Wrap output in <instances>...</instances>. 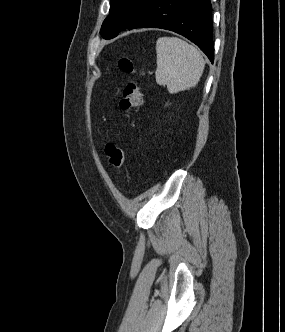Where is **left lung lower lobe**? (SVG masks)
Instances as JSON below:
<instances>
[{"label":"left lung lower lobe","mask_w":285,"mask_h":332,"mask_svg":"<svg viewBox=\"0 0 285 332\" xmlns=\"http://www.w3.org/2000/svg\"><path fill=\"white\" fill-rule=\"evenodd\" d=\"M146 27L167 29L183 35L213 63L210 0H153L126 29Z\"/></svg>","instance_id":"1"}]
</instances>
